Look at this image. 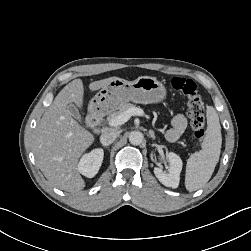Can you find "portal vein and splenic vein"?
I'll return each instance as SVG.
<instances>
[{
  "label": "portal vein and splenic vein",
  "mask_w": 251,
  "mask_h": 251,
  "mask_svg": "<svg viewBox=\"0 0 251 251\" xmlns=\"http://www.w3.org/2000/svg\"><path fill=\"white\" fill-rule=\"evenodd\" d=\"M144 111L140 108H130L109 121V126L116 127L126 123L131 116H143Z\"/></svg>",
  "instance_id": "1"
}]
</instances>
